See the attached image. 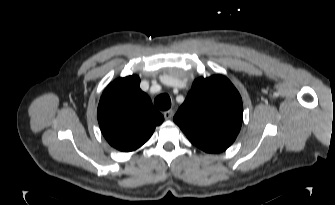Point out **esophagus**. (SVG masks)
<instances>
[{"label":"esophagus","instance_id":"34e87169","mask_svg":"<svg viewBox=\"0 0 335 205\" xmlns=\"http://www.w3.org/2000/svg\"><path fill=\"white\" fill-rule=\"evenodd\" d=\"M163 115H164V118H165L166 120H171L172 117L174 116V110H172V109L167 110V111H165V112L163 113Z\"/></svg>","mask_w":335,"mask_h":205}]
</instances>
